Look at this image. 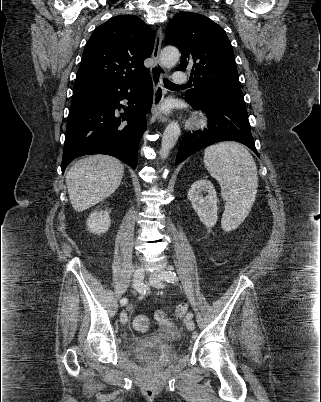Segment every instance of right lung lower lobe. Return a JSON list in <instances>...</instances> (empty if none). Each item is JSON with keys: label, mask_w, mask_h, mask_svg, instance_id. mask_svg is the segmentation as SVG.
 Instances as JSON below:
<instances>
[{"label": "right lung lower lobe", "mask_w": 321, "mask_h": 402, "mask_svg": "<svg viewBox=\"0 0 321 402\" xmlns=\"http://www.w3.org/2000/svg\"><path fill=\"white\" fill-rule=\"evenodd\" d=\"M128 100V106L119 101ZM152 79L104 83L73 93L69 109L61 170L88 154L117 157L133 169L138 146L146 130V114L152 106ZM124 109L120 115L116 109Z\"/></svg>", "instance_id": "1"}]
</instances>
